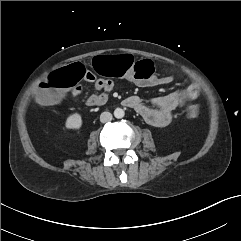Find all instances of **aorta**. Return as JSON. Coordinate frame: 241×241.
<instances>
[{
  "mask_svg": "<svg viewBox=\"0 0 241 241\" xmlns=\"http://www.w3.org/2000/svg\"><path fill=\"white\" fill-rule=\"evenodd\" d=\"M125 115V112L123 109L121 108H116L114 110V116L117 118V119H120V118H123Z\"/></svg>",
  "mask_w": 241,
  "mask_h": 241,
  "instance_id": "obj_1",
  "label": "aorta"
}]
</instances>
